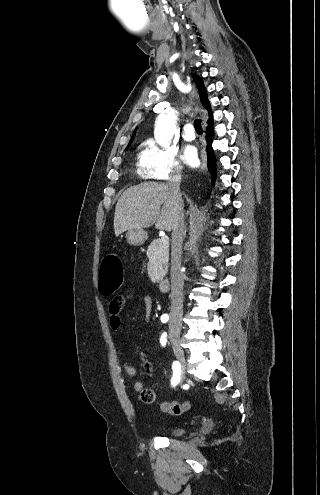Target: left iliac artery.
<instances>
[{
	"label": "left iliac artery",
	"mask_w": 320,
	"mask_h": 495,
	"mask_svg": "<svg viewBox=\"0 0 320 495\" xmlns=\"http://www.w3.org/2000/svg\"><path fill=\"white\" fill-rule=\"evenodd\" d=\"M166 336H167L166 332H164V333L161 335V338H160V343H161V345H162V346H165V345H166V341H167Z\"/></svg>",
	"instance_id": "left-iliac-artery-1"
}]
</instances>
